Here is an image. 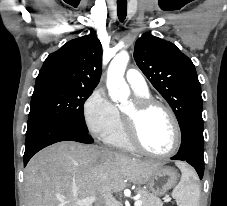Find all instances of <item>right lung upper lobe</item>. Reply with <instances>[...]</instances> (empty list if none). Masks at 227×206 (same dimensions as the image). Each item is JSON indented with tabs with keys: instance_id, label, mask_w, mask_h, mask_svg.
<instances>
[{
	"instance_id": "obj_1",
	"label": "right lung upper lobe",
	"mask_w": 227,
	"mask_h": 206,
	"mask_svg": "<svg viewBox=\"0 0 227 206\" xmlns=\"http://www.w3.org/2000/svg\"><path fill=\"white\" fill-rule=\"evenodd\" d=\"M102 66V46L97 36L73 39L44 61L36 84L59 83L95 89L99 83Z\"/></svg>"
}]
</instances>
